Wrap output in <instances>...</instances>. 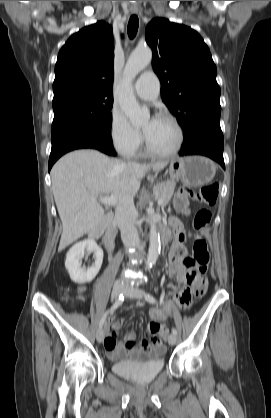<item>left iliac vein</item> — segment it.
I'll return each mask as SVG.
<instances>
[{
  "label": "left iliac vein",
  "mask_w": 271,
  "mask_h": 418,
  "mask_svg": "<svg viewBox=\"0 0 271 418\" xmlns=\"http://www.w3.org/2000/svg\"><path fill=\"white\" fill-rule=\"evenodd\" d=\"M125 292L129 298L141 299L143 297V291L133 286H127ZM168 343L174 345L176 343V335L173 333L169 334Z\"/></svg>",
  "instance_id": "left-iliac-vein-1"
}]
</instances>
